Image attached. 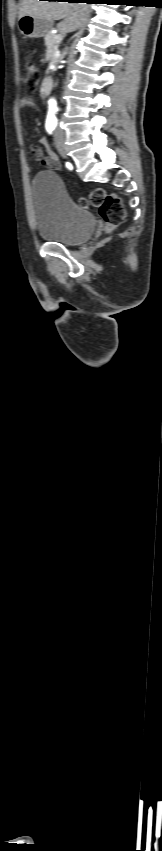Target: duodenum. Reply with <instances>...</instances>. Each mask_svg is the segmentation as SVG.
<instances>
[{
    "instance_id": "1",
    "label": "duodenum",
    "mask_w": 162,
    "mask_h": 851,
    "mask_svg": "<svg viewBox=\"0 0 162 851\" xmlns=\"http://www.w3.org/2000/svg\"><path fill=\"white\" fill-rule=\"evenodd\" d=\"M52 86H53V81H52V79H51L50 77H46V78L43 80L42 85H41L42 93H43L44 95H48V94L51 92V90H52Z\"/></svg>"
}]
</instances>
